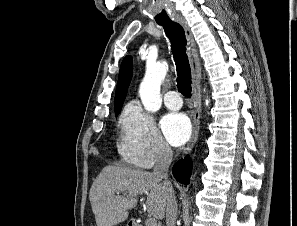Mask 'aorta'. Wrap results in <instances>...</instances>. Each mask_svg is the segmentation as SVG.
<instances>
[{
  "label": "aorta",
  "instance_id": "aorta-1",
  "mask_svg": "<svg viewBox=\"0 0 297 226\" xmlns=\"http://www.w3.org/2000/svg\"><path fill=\"white\" fill-rule=\"evenodd\" d=\"M168 71L166 62H159L146 69L144 79L140 85L139 94L146 111L154 113L161 108L162 99L160 86ZM209 100H206V105Z\"/></svg>",
  "mask_w": 297,
  "mask_h": 226
}]
</instances>
